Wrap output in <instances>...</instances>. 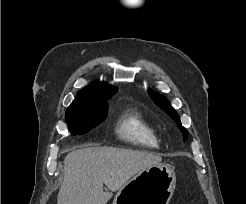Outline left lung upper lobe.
Instances as JSON below:
<instances>
[{
    "label": "left lung upper lobe",
    "instance_id": "1",
    "mask_svg": "<svg viewBox=\"0 0 246 204\" xmlns=\"http://www.w3.org/2000/svg\"><path fill=\"white\" fill-rule=\"evenodd\" d=\"M148 92H149V95L152 98V100L155 102V104L157 106H159L161 109H163L173 120H175V122L178 125V128L180 129V131L183 134L184 141H186V139L188 137V132L181 125V122H180V119L178 117V114L176 113L174 108L171 106L169 101L163 95H160L157 92H153L152 90H149Z\"/></svg>",
    "mask_w": 246,
    "mask_h": 204
}]
</instances>
